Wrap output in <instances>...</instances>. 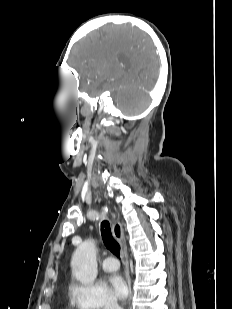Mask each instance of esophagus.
I'll list each match as a JSON object with an SVG mask.
<instances>
[{
    "instance_id": "34e87169",
    "label": "esophagus",
    "mask_w": 232,
    "mask_h": 309,
    "mask_svg": "<svg viewBox=\"0 0 232 309\" xmlns=\"http://www.w3.org/2000/svg\"><path fill=\"white\" fill-rule=\"evenodd\" d=\"M112 231H113L114 237L117 239V241L121 245V254L123 257L124 264H125L126 280H127V284L129 288L128 302H130L131 297H132V288H131V278H130L129 261H128V255H127V247H126L123 227L119 222H115L112 226Z\"/></svg>"
}]
</instances>
